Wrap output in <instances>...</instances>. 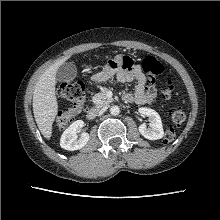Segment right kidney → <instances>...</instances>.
Returning <instances> with one entry per match:
<instances>
[{
	"mask_svg": "<svg viewBox=\"0 0 220 220\" xmlns=\"http://www.w3.org/2000/svg\"><path fill=\"white\" fill-rule=\"evenodd\" d=\"M84 126L82 120L73 122L62 134L60 139L61 148L69 151H74L84 147L89 141V134L83 132L78 138L77 131Z\"/></svg>",
	"mask_w": 220,
	"mask_h": 220,
	"instance_id": "obj_1",
	"label": "right kidney"
}]
</instances>
